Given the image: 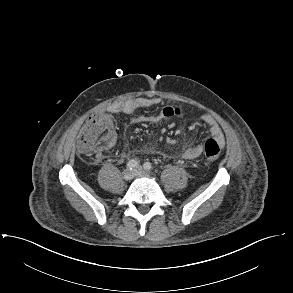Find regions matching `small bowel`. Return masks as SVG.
<instances>
[{
    "instance_id": "small-bowel-1",
    "label": "small bowel",
    "mask_w": 293,
    "mask_h": 293,
    "mask_svg": "<svg viewBox=\"0 0 293 293\" xmlns=\"http://www.w3.org/2000/svg\"><path fill=\"white\" fill-rule=\"evenodd\" d=\"M154 104H155V101L153 99L139 97L135 99L126 100L122 103L112 104L108 107V112L112 114H116V115L123 114V115L131 116V122L133 123H139V122L157 123L161 119L164 118V115L158 114V115H153L149 117L132 116L135 111L150 107ZM201 121L208 127L211 137L215 139L221 147H223L225 145V137L220 126L216 122V120L210 115H202ZM203 150H204V145L198 144V145L186 148L182 152V156L185 159H195L203 153ZM99 158L100 157L98 156L97 159Z\"/></svg>"
}]
</instances>
